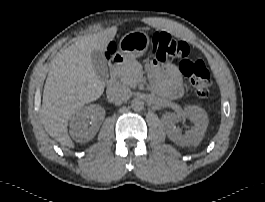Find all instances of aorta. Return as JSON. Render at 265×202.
I'll list each match as a JSON object with an SVG mask.
<instances>
[{
	"label": "aorta",
	"mask_w": 265,
	"mask_h": 202,
	"mask_svg": "<svg viewBox=\"0 0 265 202\" xmlns=\"http://www.w3.org/2000/svg\"><path fill=\"white\" fill-rule=\"evenodd\" d=\"M131 107L134 111H141L144 109V101L140 98H134L131 101Z\"/></svg>",
	"instance_id": "1"
}]
</instances>
